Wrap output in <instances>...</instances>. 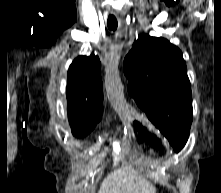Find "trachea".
<instances>
[{
    "instance_id": "3493384b",
    "label": "trachea",
    "mask_w": 221,
    "mask_h": 193,
    "mask_svg": "<svg viewBox=\"0 0 221 193\" xmlns=\"http://www.w3.org/2000/svg\"><path fill=\"white\" fill-rule=\"evenodd\" d=\"M107 26L110 30L115 31L118 26L117 19L114 15H109L107 20Z\"/></svg>"
}]
</instances>
